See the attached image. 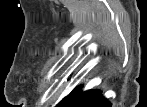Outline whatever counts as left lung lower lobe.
<instances>
[{"label": "left lung lower lobe", "mask_w": 147, "mask_h": 107, "mask_svg": "<svg viewBox=\"0 0 147 107\" xmlns=\"http://www.w3.org/2000/svg\"><path fill=\"white\" fill-rule=\"evenodd\" d=\"M77 86L58 104V107H111V103L100 90H82Z\"/></svg>", "instance_id": "left-lung-lower-lobe-1"}]
</instances>
